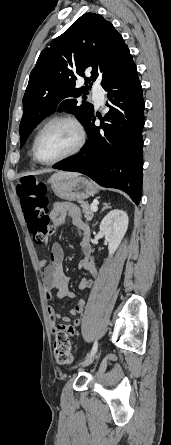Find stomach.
Masks as SVG:
<instances>
[{
  "instance_id": "0dacf381",
  "label": "stomach",
  "mask_w": 171,
  "mask_h": 445,
  "mask_svg": "<svg viewBox=\"0 0 171 445\" xmlns=\"http://www.w3.org/2000/svg\"><path fill=\"white\" fill-rule=\"evenodd\" d=\"M49 182L55 195L67 201H82L98 192L93 182L78 175L52 176Z\"/></svg>"
}]
</instances>
